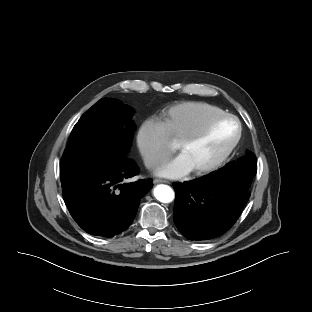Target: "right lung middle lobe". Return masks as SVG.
Here are the masks:
<instances>
[{
  "instance_id": "1",
  "label": "right lung middle lobe",
  "mask_w": 312,
  "mask_h": 312,
  "mask_svg": "<svg viewBox=\"0 0 312 312\" xmlns=\"http://www.w3.org/2000/svg\"><path fill=\"white\" fill-rule=\"evenodd\" d=\"M133 113L121 101L103 98L81 116L60 161L62 188L126 157L135 129Z\"/></svg>"
}]
</instances>
